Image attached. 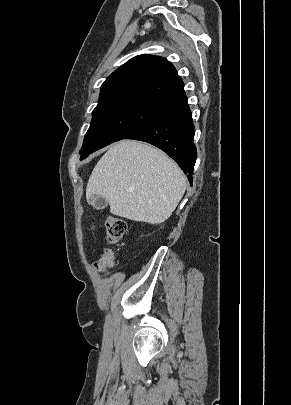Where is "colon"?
Here are the masks:
<instances>
[{
    "mask_svg": "<svg viewBox=\"0 0 291 405\" xmlns=\"http://www.w3.org/2000/svg\"><path fill=\"white\" fill-rule=\"evenodd\" d=\"M105 227L107 240L111 244L120 241L127 231L126 222L122 218L113 215L105 219ZM115 259V252L108 248L104 250L94 266L97 271L108 274L114 266Z\"/></svg>",
    "mask_w": 291,
    "mask_h": 405,
    "instance_id": "1",
    "label": "colon"
}]
</instances>
